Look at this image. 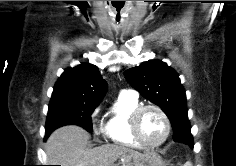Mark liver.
Here are the masks:
<instances>
[{"mask_svg":"<svg viewBox=\"0 0 236 166\" xmlns=\"http://www.w3.org/2000/svg\"><path fill=\"white\" fill-rule=\"evenodd\" d=\"M89 134L76 125L56 129L47 139L45 152L51 165L114 166L117 159L139 165L145 154L122 145L107 144L88 148Z\"/></svg>","mask_w":236,"mask_h":166,"instance_id":"obj_1","label":"liver"}]
</instances>
